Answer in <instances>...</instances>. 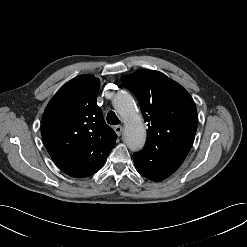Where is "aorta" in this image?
<instances>
[{
  "label": "aorta",
  "instance_id": "1",
  "mask_svg": "<svg viewBox=\"0 0 247 247\" xmlns=\"http://www.w3.org/2000/svg\"><path fill=\"white\" fill-rule=\"evenodd\" d=\"M113 105L125 123L124 142L131 151L141 150L146 142V129L132 96L127 92H120Z\"/></svg>",
  "mask_w": 247,
  "mask_h": 247
}]
</instances>
